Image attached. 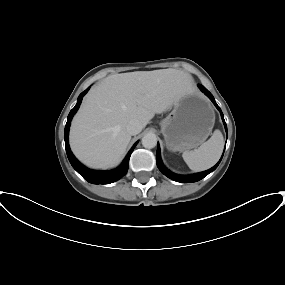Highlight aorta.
<instances>
[{
  "instance_id": "1",
  "label": "aorta",
  "mask_w": 285,
  "mask_h": 285,
  "mask_svg": "<svg viewBox=\"0 0 285 285\" xmlns=\"http://www.w3.org/2000/svg\"><path fill=\"white\" fill-rule=\"evenodd\" d=\"M157 144V138L154 133H147L142 138V145L147 149L154 148Z\"/></svg>"
}]
</instances>
